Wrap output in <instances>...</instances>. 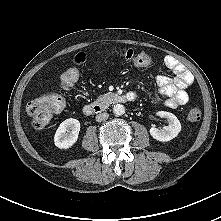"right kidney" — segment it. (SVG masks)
Here are the masks:
<instances>
[{
    "mask_svg": "<svg viewBox=\"0 0 221 221\" xmlns=\"http://www.w3.org/2000/svg\"><path fill=\"white\" fill-rule=\"evenodd\" d=\"M80 131V122L69 118L63 121L54 136L55 145L60 149H68L75 144Z\"/></svg>",
    "mask_w": 221,
    "mask_h": 221,
    "instance_id": "right-kidney-1",
    "label": "right kidney"
}]
</instances>
